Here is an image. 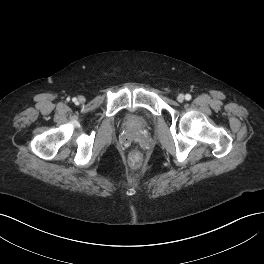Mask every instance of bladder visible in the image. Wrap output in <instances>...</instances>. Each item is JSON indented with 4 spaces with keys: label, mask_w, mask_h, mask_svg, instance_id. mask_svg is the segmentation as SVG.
<instances>
[{
    "label": "bladder",
    "mask_w": 264,
    "mask_h": 264,
    "mask_svg": "<svg viewBox=\"0 0 264 264\" xmlns=\"http://www.w3.org/2000/svg\"><path fill=\"white\" fill-rule=\"evenodd\" d=\"M149 117L146 115L130 116L126 120V125L129 128L143 129L148 126Z\"/></svg>",
    "instance_id": "31cf9c89"
}]
</instances>
